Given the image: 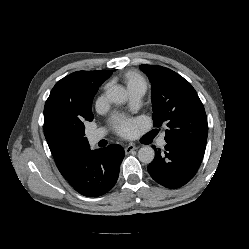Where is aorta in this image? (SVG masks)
<instances>
[{
  "label": "aorta",
  "mask_w": 249,
  "mask_h": 249,
  "mask_svg": "<svg viewBox=\"0 0 249 249\" xmlns=\"http://www.w3.org/2000/svg\"><path fill=\"white\" fill-rule=\"evenodd\" d=\"M108 100L114 104H122L127 100V93L120 86H112L106 91ZM155 157L154 149L150 146H143L138 151V159L143 163H151Z\"/></svg>",
  "instance_id": "aorta-1"
}]
</instances>
